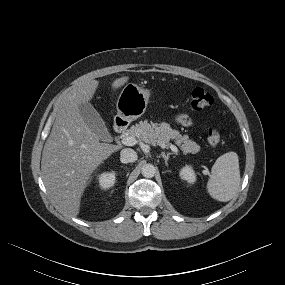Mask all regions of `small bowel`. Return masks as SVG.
Listing matches in <instances>:
<instances>
[{
	"instance_id": "1",
	"label": "small bowel",
	"mask_w": 285,
	"mask_h": 285,
	"mask_svg": "<svg viewBox=\"0 0 285 285\" xmlns=\"http://www.w3.org/2000/svg\"><path fill=\"white\" fill-rule=\"evenodd\" d=\"M176 120L178 123H180L183 126H190L192 124V119L186 113H182V114L178 115Z\"/></svg>"
}]
</instances>
